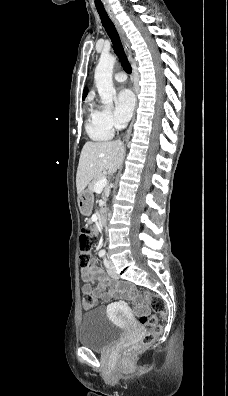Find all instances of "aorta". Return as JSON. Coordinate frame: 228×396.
Returning a JSON list of instances; mask_svg holds the SVG:
<instances>
[{
  "label": "aorta",
  "instance_id": "762f6f07",
  "mask_svg": "<svg viewBox=\"0 0 228 396\" xmlns=\"http://www.w3.org/2000/svg\"><path fill=\"white\" fill-rule=\"evenodd\" d=\"M115 57L112 55H101L99 63L95 69L94 80L101 98V103L105 106H112L116 90L112 81Z\"/></svg>",
  "mask_w": 228,
  "mask_h": 396
}]
</instances>
